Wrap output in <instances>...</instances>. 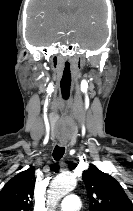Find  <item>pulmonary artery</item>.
Returning a JSON list of instances; mask_svg holds the SVG:
<instances>
[{"instance_id":"e3ab8cb5","label":"pulmonary artery","mask_w":133,"mask_h":211,"mask_svg":"<svg viewBox=\"0 0 133 211\" xmlns=\"http://www.w3.org/2000/svg\"><path fill=\"white\" fill-rule=\"evenodd\" d=\"M60 211H79L80 199L75 194L67 195L59 205Z\"/></svg>"}]
</instances>
